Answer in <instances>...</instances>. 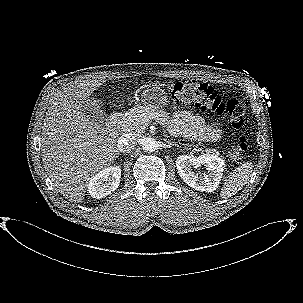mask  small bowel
Listing matches in <instances>:
<instances>
[{
    "instance_id": "obj_1",
    "label": "small bowel",
    "mask_w": 303,
    "mask_h": 303,
    "mask_svg": "<svg viewBox=\"0 0 303 303\" xmlns=\"http://www.w3.org/2000/svg\"><path fill=\"white\" fill-rule=\"evenodd\" d=\"M172 130L194 141L216 142L222 134L219 128L206 126L202 117L189 111H179L176 113Z\"/></svg>"
}]
</instances>
